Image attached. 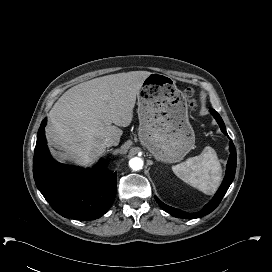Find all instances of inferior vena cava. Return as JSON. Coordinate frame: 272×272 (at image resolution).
Wrapping results in <instances>:
<instances>
[{
    "mask_svg": "<svg viewBox=\"0 0 272 272\" xmlns=\"http://www.w3.org/2000/svg\"><path fill=\"white\" fill-rule=\"evenodd\" d=\"M104 144L106 147H111V146H117L118 142L115 139L109 137L105 139Z\"/></svg>",
    "mask_w": 272,
    "mask_h": 272,
    "instance_id": "1",
    "label": "inferior vena cava"
}]
</instances>
